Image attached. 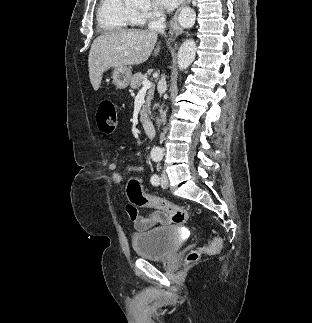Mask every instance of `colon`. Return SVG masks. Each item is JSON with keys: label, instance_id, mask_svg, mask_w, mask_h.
I'll list each match as a JSON object with an SVG mask.
<instances>
[{"label": "colon", "instance_id": "colon-1", "mask_svg": "<svg viewBox=\"0 0 312 323\" xmlns=\"http://www.w3.org/2000/svg\"><path fill=\"white\" fill-rule=\"evenodd\" d=\"M96 123L102 134H113L118 127V114L113 100L110 97H104L99 100L96 114ZM127 195L130 201L137 205H149L155 209L170 213L174 223H184L189 219V213L186 208L172 204L171 202L156 196L145 195L141 189L142 177H127ZM131 204L126 206V211L131 219L137 218V212ZM222 247L220 238H213L202 252L215 253ZM199 257L198 251H191L187 256L188 262H195Z\"/></svg>", "mask_w": 312, "mask_h": 323}]
</instances>
